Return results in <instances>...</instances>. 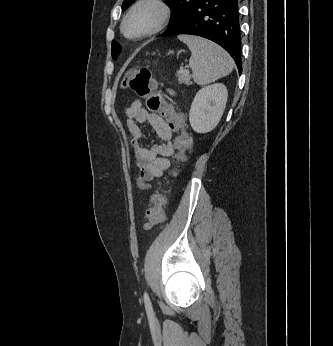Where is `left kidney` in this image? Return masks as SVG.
Wrapping results in <instances>:
<instances>
[{"label": "left kidney", "mask_w": 333, "mask_h": 346, "mask_svg": "<svg viewBox=\"0 0 333 346\" xmlns=\"http://www.w3.org/2000/svg\"><path fill=\"white\" fill-rule=\"evenodd\" d=\"M225 85L215 83L200 89L192 102L189 122L197 133H208L219 123L227 102Z\"/></svg>", "instance_id": "left-kidney-1"}]
</instances>
